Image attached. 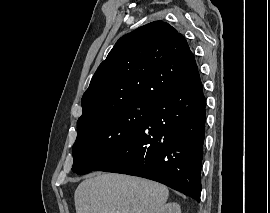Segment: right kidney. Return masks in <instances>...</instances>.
<instances>
[{"label":"right kidney","instance_id":"obj_1","mask_svg":"<svg viewBox=\"0 0 270 213\" xmlns=\"http://www.w3.org/2000/svg\"><path fill=\"white\" fill-rule=\"evenodd\" d=\"M157 213H181L180 206L175 202H170L163 205Z\"/></svg>","mask_w":270,"mask_h":213}]
</instances>
